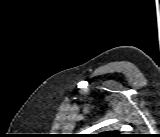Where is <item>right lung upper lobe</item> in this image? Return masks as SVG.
I'll return each mask as SVG.
<instances>
[{
    "instance_id": "right-lung-upper-lobe-1",
    "label": "right lung upper lobe",
    "mask_w": 160,
    "mask_h": 137,
    "mask_svg": "<svg viewBox=\"0 0 160 137\" xmlns=\"http://www.w3.org/2000/svg\"><path fill=\"white\" fill-rule=\"evenodd\" d=\"M102 135H106V136L118 135V132L117 131H110V132L102 133Z\"/></svg>"
}]
</instances>
